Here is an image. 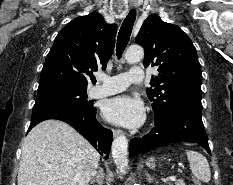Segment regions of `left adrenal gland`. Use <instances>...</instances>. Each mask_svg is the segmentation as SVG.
Returning <instances> with one entry per match:
<instances>
[{
    "label": "left adrenal gland",
    "instance_id": "obj_1",
    "mask_svg": "<svg viewBox=\"0 0 233 185\" xmlns=\"http://www.w3.org/2000/svg\"><path fill=\"white\" fill-rule=\"evenodd\" d=\"M145 175L147 177L148 182H151L153 180V178L151 177L149 173L145 172Z\"/></svg>",
    "mask_w": 233,
    "mask_h": 185
}]
</instances>
